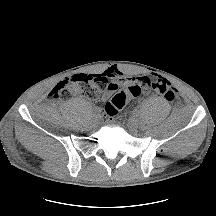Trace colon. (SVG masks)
Here are the masks:
<instances>
[{"instance_id": "colon-1", "label": "colon", "mask_w": 216, "mask_h": 216, "mask_svg": "<svg viewBox=\"0 0 216 216\" xmlns=\"http://www.w3.org/2000/svg\"><path fill=\"white\" fill-rule=\"evenodd\" d=\"M108 84V79L103 75L74 74L60 81L50 95L62 101L74 94L94 100L104 93ZM142 90H152L169 102H175L177 99V91L169 81L159 76H144L138 84L125 87L115 94L105 105V114L110 118L115 117L127 102Z\"/></svg>"}]
</instances>
